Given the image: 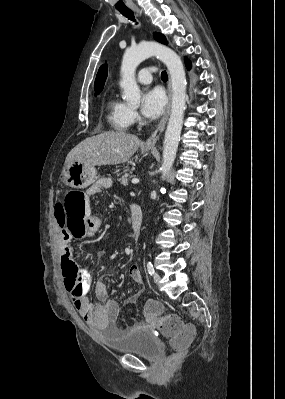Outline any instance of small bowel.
Wrapping results in <instances>:
<instances>
[{
	"label": "small bowel",
	"instance_id": "obj_1",
	"mask_svg": "<svg viewBox=\"0 0 285 399\" xmlns=\"http://www.w3.org/2000/svg\"><path fill=\"white\" fill-rule=\"evenodd\" d=\"M106 188V185L103 183H96L93 185L90 190L83 197L86 200L87 205V213L92 222L91 231L93 233L97 232L101 227V219L99 216H95L91 214V205L89 198L100 192L102 189ZM137 204H132L131 208ZM62 208L61 205H57L55 207V215L61 217ZM60 235H59V247H60V256L61 258L64 255L71 256L72 250L67 246V242L69 241L71 235L65 226L60 225ZM129 276L133 280V282L141 287L144 284L143 275L140 269L137 266H132L129 270ZM80 278L83 281L82 292L79 297V300H73L74 305L80 315L85 319V321L92 327L103 328L110 324H114L120 314V308L118 303L113 300L110 296V289L105 282H98L95 286V295L98 299V303H92L89 298L87 291L90 286V272L87 269L82 268L80 271ZM140 297L139 294L134 295L128 302H132ZM146 323H154V320L151 318L146 321ZM142 325V324H137Z\"/></svg>",
	"mask_w": 285,
	"mask_h": 399
}]
</instances>
